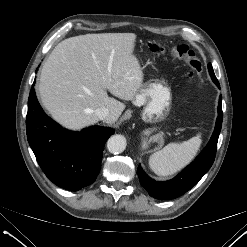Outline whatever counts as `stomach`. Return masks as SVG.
Wrapping results in <instances>:
<instances>
[{"instance_id":"1","label":"stomach","mask_w":247,"mask_h":247,"mask_svg":"<svg viewBox=\"0 0 247 247\" xmlns=\"http://www.w3.org/2000/svg\"><path fill=\"white\" fill-rule=\"evenodd\" d=\"M136 106H144L142 119L145 122H161L167 118L172 105L171 89L159 79L145 82L134 98Z\"/></svg>"}]
</instances>
